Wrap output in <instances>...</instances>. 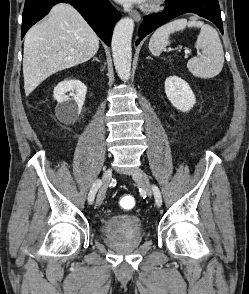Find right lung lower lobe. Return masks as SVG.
I'll return each instance as SVG.
<instances>
[{
  "mask_svg": "<svg viewBox=\"0 0 249 294\" xmlns=\"http://www.w3.org/2000/svg\"><path fill=\"white\" fill-rule=\"evenodd\" d=\"M61 2L73 5L101 40L110 46L114 24L121 14L108 0H26L21 38L32 25L49 12L53 5Z\"/></svg>",
  "mask_w": 249,
  "mask_h": 294,
  "instance_id": "obj_1",
  "label": "right lung lower lobe"
}]
</instances>
